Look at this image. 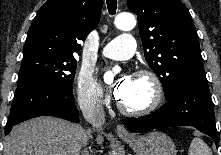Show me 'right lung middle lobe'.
Masks as SVG:
<instances>
[{"mask_svg": "<svg viewBox=\"0 0 221 155\" xmlns=\"http://www.w3.org/2000/svg\"><path fill=\"white\" fill-rule=\"evenodd\" d=\"M75 71V58H63L47 53L23 56L15 93L30 81L46 82L61 90L72 92Z\"/></svg>", "mask_w": 221, "mask_h": 155, "instance_id": "dd1d6c3e", "label": "right lung middle lobe"}]
</instances>
